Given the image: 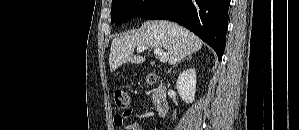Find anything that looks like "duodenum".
Masks as SVG:
<instances>
[{
	"instance_id": "duodenum-1",
	"label": "duodenum",
	"mask_w": 299,
	"mask_h": 130,
	"mask_svg": "<svg viewBox=\"0 0 299 130\" xmlns=\"http://www.w3.org/2000/svg\"><path fill=\"white\" fill-rule=\"evenodd\" d=\"M153 101L157 114L160 117L166 116L169 111L170 105L165 84L158 83L153 91Z\"/></svg>"
}]
</instances>
